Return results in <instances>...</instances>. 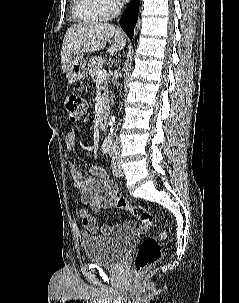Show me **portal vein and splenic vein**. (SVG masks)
<instances>
[{"label": "portal vein and splenic vein", "mask_w": 239, "mask_h": 303, "mask_svg": "<svg viewBox=\"0 0 239 303\" xmlns=\"http://www.w3.org/2000/svg\"><path fill=\"white\" fill-rule=\"evenodd\" d=\"M107 77V71L104 69H101L97 72V79L98 80H102L105 79Z\"/></svg>", "instance_id": "18ae733b"}]
</instances>
